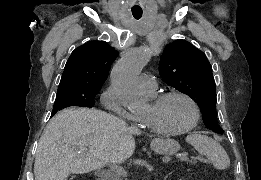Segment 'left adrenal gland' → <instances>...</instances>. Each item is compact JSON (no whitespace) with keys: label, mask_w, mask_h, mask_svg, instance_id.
Segmentation results:
<instances>
[{"label":"left adrenal gland","mask_w":261,"mask_h":180,"mask_svg":"<svg viewBox=\"0 0 261 180\" xmlns=\"http://www.w3.org/2000/svg\"><path fill=\"white\" fill-rule=\"evenodd\" d=\"M167 178H168V174H167V176H165L164 180H167Z\"/></svg>","instance_id":"left-adrenal-gland-1"}]
</instances>
